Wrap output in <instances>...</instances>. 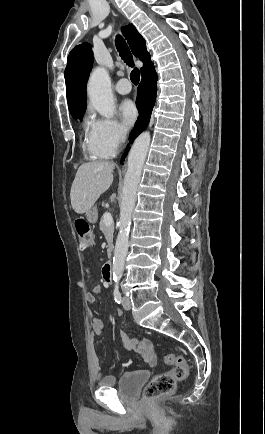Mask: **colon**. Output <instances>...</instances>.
I'll return each instance as SVG.
<instances>
[{
  "label": "colon",
  "instance_id": "5ec220e1",
  "mask_svg": "<svg viewBox=\"0 0 265 434\" xmlns=\"http://www.w3.org/2000/svg\"><path fill=\"white\" fill-rule=\"evenodd\" d=\"M75 231L82 250L88 251L95 244V236L86 220H76ZM165 363L172 366L171 372L157 373L145 387L144 400L150 403L152 396L173 392L178 381L187 379L189 367L187 362L180 356L170 354L165 357Z\"/></svg>",
  "mask_w": 265,
  "mask_h": 434
}]
</instances>
